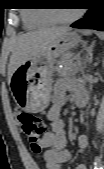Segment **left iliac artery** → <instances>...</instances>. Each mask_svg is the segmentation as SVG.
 <instances>
[{
	"label": "left iliac artery",
	"instance_id": "1",
	"mask_svg": "<svg viewBox=\"0 0 104 169\" xmlns=\"http://www.w3.org/2000/svg\"><path fill=\"white\" fill-rule=\"evenodd\" d=\"M94 169H103L100 157L96 156L94 160Z\"/></svg>",
	"mask_w": 104,
	"mask_h": 169
}]
</instances>
